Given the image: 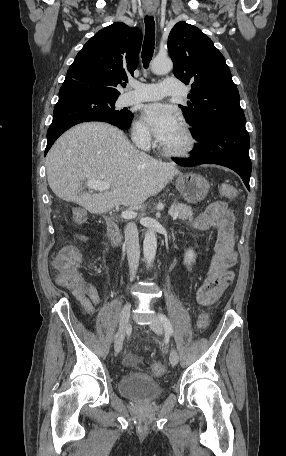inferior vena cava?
<instances>
[{
  "label": "inferior vena cava",
  "instance_id": "obj_1",
  "mask_svg": "<svg viewBox=\"0 0 286 456\" xmlns=\"http://www.w3.org/2000/svg\"><path fill=\"white\" fill-rule=\"evenodd\" d=\"M124 233L129 271L133 279L137 271L140 258L139 237L136 224L134 222H129L125 226Z\"/></svg>",
  "mask_w": 286,
  "mask_h": 456
}]
</instances>
